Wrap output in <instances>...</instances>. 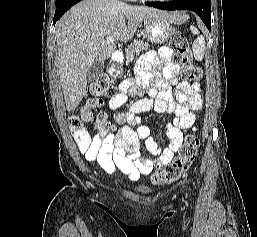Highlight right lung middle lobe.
<instances>
[{
	"label": "right lung middle lobe",
	"instance_id": "dd1d6c3e",
	"mask_svg": "<svg viewBox=\"0 0 257 237\" xmlns=\"http://www.w3.org/2000/svg\"><path fill=\"white\" fill-rule=\"evenodd\" d=\"M62 1H64V0H56V4H58V3L62 2Z\"/></svg>",
	"mask_w": 257,
	"mask_h": 237
}]
</instances>
